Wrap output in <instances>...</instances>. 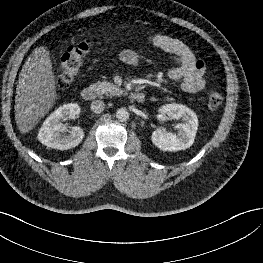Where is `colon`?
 <instances>
[{
  "instance_id": "colon-1",
  "label": "colon",
  "mask_w": 263,
  "mask_h": 263,
  "mask_svg": "<svg viewBox=\"0 0 263 263\" xmlns=\"http://www.w3.org/2000/svg\"><path fill=\"white\" fill-rule=\"evenodd\" d=\"M95 40L84 39L72 42L66 49L61 58L59 66V75L57 77V86L60 89L67 88L72 79L79 72L85 55L93 45ZM223 102V94L217 89L213 88L208 92L207 104L212 110L220 107Z\"/></svg>"
}]
</instances>
